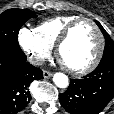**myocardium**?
I'll return each instance as SVG.
<instances>
[{
	"mask_svg": "<svg viewBox=\"0 0 114 114\" xmlns=\"http://www.w3.org/2000/svg\"><path fill=\"white\" fill-rule=\"evenodd\" d=\"M81 22H89L94 27V29L98 35L99 45H98L94 58L92 59V61L89 64H87L86 66H84L82 68H72V67L67 66L66 64H64L61 61L60 53H61V49H62L63 45L70 38L74 28ZM104 49H105V38H104V35H103L101 29L93 19L88 18V17H79V18L75 19L74 21H72L71 23H69L66 26V28L63 30V32L61 33V35L59 36V38L56 42L57 57L60 59V61L63 63V65L67 68V70L70 71L74 75H85V74L93 71L99 65V63L102 59L103 53H104Z\"/></svg>",
	"mask_w": 114,
	"mask_h": 114,
	"instance_id": "1",
	"label": "myocardium"
}]
</instances>
